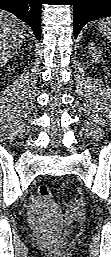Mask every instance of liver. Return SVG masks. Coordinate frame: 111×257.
I'll return each instance as SVG.
<instances>
[{"label":"liver","mask_w":111,"mask_h":257,"mask_svg":"<svg viewBox=\"0 0 111 257\" xmlns=\"http://www.w3.org/2000/svg\"><path fill=\"white\" fill-rule=\"evenodd\" d=\"M25 39V25L12 14L0 12V65L17 53Z\"/></svg>","instance_id":"liver-1"}]
</instances>
